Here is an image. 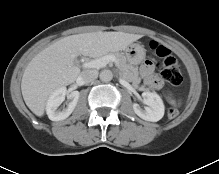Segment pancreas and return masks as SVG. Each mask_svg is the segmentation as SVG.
<instances>
[{
    "label": "pancreas",
    "instance_id": "obj_1",
    "mask_svg": "<svg viewBox=\"0 0 219 174\" xmlns=\"http://www.w3.org/2000/svg\"><path fill=\"white\" fill-rule=\"evenodd\" d=\"M106 55H113L117 60V65L120 69L122 77L128 82H132L135 87H138L141 79L138 76V69L128 64L126 57L121 53H109ZM105 55V56H106ZM103 57V56H102ZM101 58V57H100Z\"/></svg>",
    "mask_w": 219,
    "mask_h": 174
}]
</instances>
